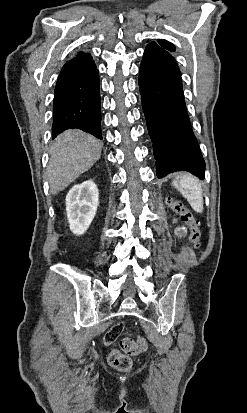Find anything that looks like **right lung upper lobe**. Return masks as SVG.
<instances>
[{
  "mask_svg": "<svg viewBox=\"0 0 247 413\" xmlns=\"http://www.w3.org/2000/svg\"><path fill=\"white\" fill-rule=\"evenodd\" d=\"M91 60H92V56L90 54L81 51L77 53V55L74 58L66 62V64L77 62V61H91Z\"/></svg>",
  "mask_w": 247,
  "mask_h": 413,
  "instance_id": "1",
  "label": "right lung upper lobe"
}]
</instances>
